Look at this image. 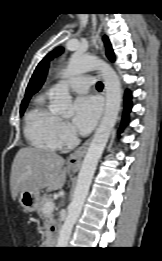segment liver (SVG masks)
<instances>
[{"label":"liver","instance_id":"1","mask_svg":"<svg viewBox=\"0 0 162 261\" xmlns=\"http://www.w3.org/2000/svg\"><path fill=\"white\" fill-rule=\"evenodd\" d=\"M64 159L44 149L21 148L12 163L10 189L12 199L23 191L36 192L47 188L48 192L61 189L66 180Z\"/></svg>","mask_w":162,"mask_h":261}]
</instances>
